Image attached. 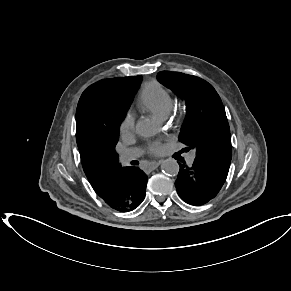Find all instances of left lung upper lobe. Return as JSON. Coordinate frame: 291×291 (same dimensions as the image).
Here are the masks:
<instances>
[{
    "instance_id": "5c2ea615",
    "label": "left lung upper lobe",
    "mask_w": 291,
    "mask_h": 291,
    "mask_svg": "<svg viewBox=\"0 0 291 291\" xmlns=\"http://www.w3.org/2000/svg\"><path fill=\"white\" fill-rule=\"evenodd\" d=\"M157 79L186 102L179 140L196 151V160L228 175L232 158L230 128L214 87L199 77L179 72L161 71Z\"/></svg>"
}]
</instances>
